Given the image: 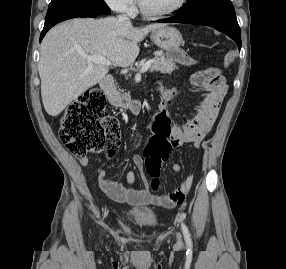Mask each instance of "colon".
Wrapping results in <instances>:
<instances>
[{"instance_id":"5ec220e1","label":"colon","mask_w":286,"mask_h":269,"mask_svg":"<svg viewBox=\"0 0 286 269\" xmlns=\"http://www.w3.org/2000/svg\"><path fill=\"white\" fill-rule=\"evenodd\" d=\"M164 58L168 62H180V66H204V61H195L187 49H163ZM193 83L189 88H198L205 91L207 100L203 110H220L226 100V88L223 75L217 69H203L192 76ZM106 99L98 87L88 89L78 97L64 111L60 119L59 136L72 155L83 158L88 153H97L106 150L109 157L114 156L121 144L120 125L117 119L108 116ZM149 116H155L150 121L151 130L148 132L147 142L143 143L145 150V166L152 177L151 187L158 190L159 175L163 163L169 159L174 148L169 126H173L170 111H149ZM156 124V126H155ZM185 192L180 195L184 202Z\"/></svg>"}]
</instances>
